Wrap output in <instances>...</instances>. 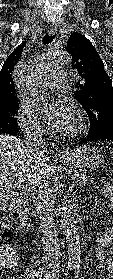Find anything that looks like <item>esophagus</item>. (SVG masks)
Segmentation results:
<instances>
[{"label": "esophagus", "mask_w": 113, "mask_h": 279, "mask_svg": "<svg viewBox=\"0 0 113 279\" xmlns=\"http://www.w3.org/2000/svg\"><path fill=\"white\" fill-rule=\"evenodd\" d=\"M56 32H57V26H56L55 24L50 25V26L48 27V33H49L50 35H54ZM57 154H58L59 156L68 155V150H66V149H60V150L57 151Z\"/></svg>", "instance_id": "obj_1"}]
</instances>
